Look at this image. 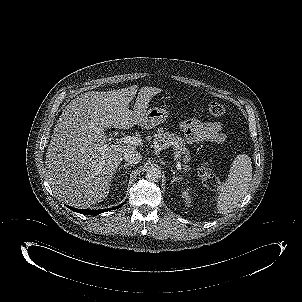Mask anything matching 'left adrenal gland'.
Instances as JSON below:
<instances>
[{"instance_id":"obj_1","label":"left adrenal gland","mask_w":302,"mask_h":302,"mask_svg":"<svg viewBox=\"0 0 302 302\" xmlns=\"http://www.w3.org/2000/svg\"><path fill=\"white\" fill-rule=\"evenodd\" d=\"M172 171V180H171V184H174V182H178V180H180L181 178L178 176L177 172H175L174 170Z\"/></svg>"}]
</instances>
